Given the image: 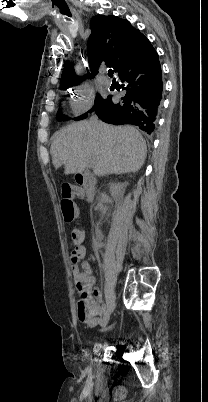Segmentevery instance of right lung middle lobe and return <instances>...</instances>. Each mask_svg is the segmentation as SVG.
<instances>
[{"mask_svg": "<svg viewBox=\"0 0 208 402\" xmlns=\"http://www.w3.org/2000/svg\"><path fill=\"white\" fill-rule=\"evenodd\" d=\"M111 101H112V100H111V96H108L107 99H103V98L98 94V95L96 96V99H95V105H94V107H93L91 110H89L87 113H85V114H83V115H81V116L75 118V120H82V119L86 118V117H87V114H88V113H91L92 111H96V110H101V109L107 108V107L110 105ZM57 118H58V120H60V121H61V120H67V119H68L66 116L62 115L61 111L59 112Z\"/></svg>", "mask_w": 208, "mask_h": 402, "instance_id": "1", "label": "right lung middle lobe"}]
</instances>
